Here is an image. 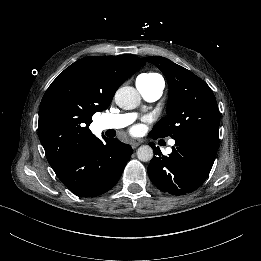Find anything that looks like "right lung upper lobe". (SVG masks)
<instances>
[{
  "label": "right lung upper lobe",
  "instance_id": "1",
  "mask_svg": "<svg viewBox=\"0 0 261 261\" xmlns=\"http://www.w3.org/2000/svg\"><path fill=\"white\" fill-rule=\"evenodd\" d=\"M145 62L137 56H89L66 68L45 92L38 134L53 169L91 146L94 113L105 110L116 90Z\"/></svg>",
  "mask_w": 261,
  "mask_h": 261
}]
</instances>
